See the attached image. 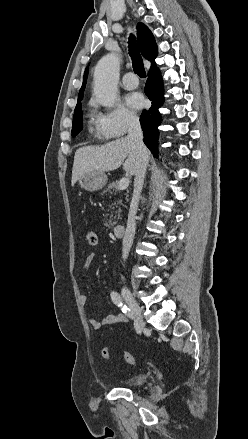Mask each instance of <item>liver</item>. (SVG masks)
Returning a JSON list of instances; mask_svg holds the SVG:
<instances>
[{
    "label": "liver",
    "instance_id": "liver-1",
    "mask_svg": "<svg viewBox=\"0 0 248 439\" xmlns=\"http://www.w3.org/2000/svg\"><path fill=\"white\" fill-rule=\"evenodd\" d=\"M147 155L149 158L148 150ZM138 162V151L127 137H121L101 146L81 147L75 152L71 185L74 186L81 176L89 172L112 171L122 164L126 172L134 175Z\"/></svg>",
    "mask_w": 248,
    "mask_h": 439
}]
</instances>
